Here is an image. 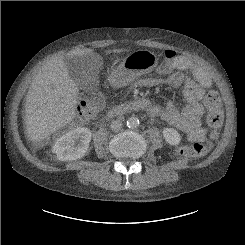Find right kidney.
Here are the masks:
<instances>
[{
	"label": "right kidney",
	"mask_w": 245,
	"mask_h": 245,
	"mask_svg": "<svg viewBox=\"0 0 245 245\" xmlns=\"http://www.w3.org/2000/svg\"><path fill=\"white\" fill-rule=\"evenodd\" d=\"M92 133L88 128H76L61 136L52 147L58 160L73 161L82 158L91 141Z\"/></svg>",
	"instance_id": "obj_1"
}]
</instances>
